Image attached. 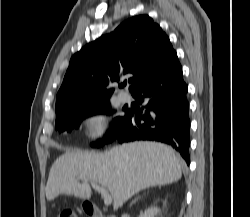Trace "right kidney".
<instances>
[{
    "label": "right kidney",
    "instance_id": "obj_1",
    "mask_svg": "<svg viewBox=\"0 0 250 217\" xmlns=\"http://www.w3.org/2000/svg\"><path fill=\"white\" fill-rule=\"evenodd\" d=\"M160 213V209L157 207H151L141 213L139 217H156Z\"/></svg>",
    "mask_w": 250,
    "mask_h": 217
}]
</instances>
